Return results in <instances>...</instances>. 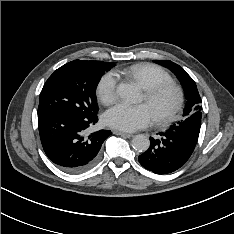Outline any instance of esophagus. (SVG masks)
<instances>
[{"instance_id": "obj_1", "label": "esophagus", "mask_w": 234, "mask_h": 234, "mask_svg": "<svg viewBox=\"0 0 234 234\" xmlns=\"http://www.w3.org/2000/svg\"><path fill=\"white\" fill-rule=\"evenodd\" d=\"M113 133L116 134V135H121V136H125V137H128V138L133 136V134H131V133H126V132H121V131H114Z\"/></svg>"}]
</instances>
